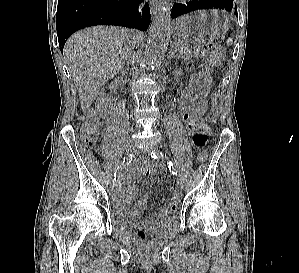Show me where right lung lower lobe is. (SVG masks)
<instances>
[{
  "instance_id": "obj_1",
  "label": "right lung lower lobe",
  "mask_w": 299,
  "mask_h": 273,
  "mask_svg": "<svg viewBox=\"0 0 299 273\" xmlns=\"http://www.w3.org/2000/svg\"><path fill=\"white\" fill-rule=\"evenodd\" d=\"M143 0H58L56 28L60 50L75 31L95 25H116L145 31L150 23L146 3L142 14L137 11Z\"/></svg>"
}]
</instances>
